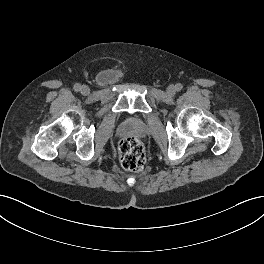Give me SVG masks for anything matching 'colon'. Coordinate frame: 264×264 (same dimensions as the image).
Here are the masks:
<instances>
[{"label": "colon", "mask_w": 264, "mask_h": 264, "mask_svg": "<svg viewBox=\"0 0 264 264\" xmlns=\"http://www.w3.org/2000/svg\"><path fill=\"white\" fill-rule=\"evenodd\" d=\"M119 160L122 167L128 171L143 169L146 156L144 146L135 137H126L118 145Z\"/></svg>", "instance_id": "obj_1"}]
</instances>
